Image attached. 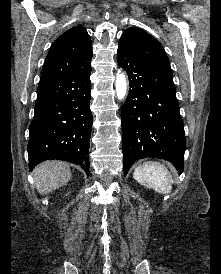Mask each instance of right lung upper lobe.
I'll return each instance as SVG.
<instances>
[{
    "instance_id": "right-lung-upper-lobe-1",
    "label": "right lung upper lobe",
    "mask_w": 221,
    "mask_h": 274,
    "mask_svg": "<svg viewBox=\"0 0 221 274\" xmlns=\"http://www.w3.org/2000/svg\"><path fill=\"white\" fill-rule=\"evenodd\" d=\"M91 38L85 28L76 26L59 36L46 57L39 86L91 67Z\"/></svg>"
}]
</instances>
